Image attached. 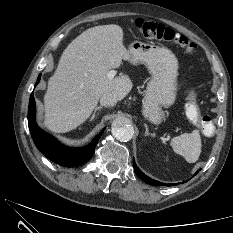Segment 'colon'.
<instances>
[{"label": "colon", "mask_w": 233, "mask_h": 233, "mask_svg": "<svg viewBox=\"0 0 233 233\" xmlns=\"http://www.w3.org/2000/svg\"><path fill=\"white\" fill-rule=\"evenodd\" d=\"M138 31L146 38L157 39L166 42H172L179 45L187 53H194L196 50V44L190 41L186 36L175 32L170 27L164 24L154 21L145 20L139 18L135 21ZM189 113H193L196 110V103L193 95L187 108ZM199 126L203 134L211 136L214 134L215 126L211 117L205 115L199 117Z\"/></svg>", "instance_id": "colon-1"}]
</instances>
